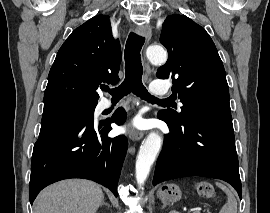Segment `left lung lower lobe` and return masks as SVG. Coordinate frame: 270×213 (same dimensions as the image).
Returning a JSON list of instances; mask_svg holds the SVG:
<instances>
[{
    "label": "left lung lower lobe",
    "mask_w": 270,
    "mask_h": 213,
    "mask_svg": "<svg viewBox=\"0 0 270 213\" xmlns=\"http://www.w3.org/2000/svg\"><path fill=\"white\" fill-rule=\"evenodd\" d=\"M170 133L165 136L153 185L187 176L221 179L231 184L241 199L242 187L232 119L193 117L176 124L163 115Z\"/></svg>",
    "instance_id": "1"
}]
</instances>
